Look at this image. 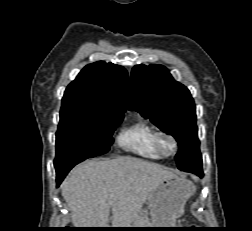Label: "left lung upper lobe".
I'll list each match as a JSON object with an SVG mask.
<instances>
[{
	"label": "left lung upper lobe",
	"mask_w": 252,
	"mask_h": 231,
	"mask_svg": "<svg viewBox=\"0 0 252 231\" xmlns=\"http://www.w3.org/2000/svg\"><path fill=\"white\" fill-rule=\"evenodd\" d=\"M128 107L149 118L179 144L175 159L180 170L202 167L195 104L189 90L175 81L162 65L133 67L127 96Z\"/></svg>",
	"instance_id": "1"
}]
</instances>
